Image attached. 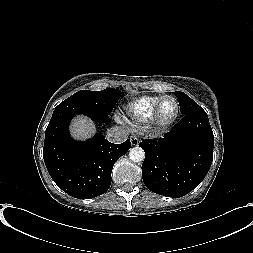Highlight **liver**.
I'll use <instances>...</instances> for the list:
<instances>
[{
	"instance_id": "6515ba94",
	"label": "liver",
	"mask_w": 253,
	"mask_h": 253,
	"mask_svg": "<svg viewBox=\"0 0 253 253\" xmlns=\"http://www.w3.org/2000/svg\"><path fill=\"white\" fill-rule=\"evenodd\" d=\"M70 130L74 138L86 139L95 133L96 128L94 123L87 117L78 116L73 120Z\"/></svg>"
}]
</instances>
